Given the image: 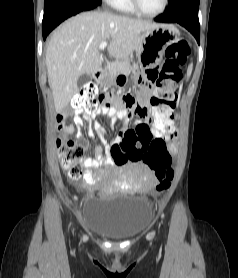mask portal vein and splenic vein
<instances>
[{"label":"portal vein and splenic vein","instance_id":"1","mask_svg":"<svg viewBox=\"0 0 238 278\" xmlns=\"http://www.w3.org/2000/svg\"><path fill=\"white\" fill-rule=\"evenodd\" d=\"M108 43L107 42H102L99 44V49L104 50L107 47Z\"/></svg>","mask_w":238,"mask_h":278}]
</instances>
